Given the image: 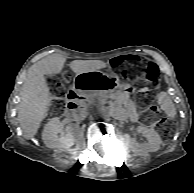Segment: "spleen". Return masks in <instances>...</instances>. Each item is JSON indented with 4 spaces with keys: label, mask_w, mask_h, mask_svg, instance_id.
Returning a JSON list of instances; mask_svg holds the SVG:
<instances>
[{
    "label": "spleen",
    "mask_w": 194,
    "mask_h": 193,
    "mask_svg": "<svg viewBox=\"0 0 194 193\" xmlns=\"http://www.w3.org/2000/svg\"><path fill=\"white\" fill-rule=\"evenodd\" d=\"M158 103L161 106V109L167 114L170 119H174L176 115V108L172 99L166 92H161L158 95Z\"/></svg>",
    "instance_id": "spleen-1"
}]
</instances>
